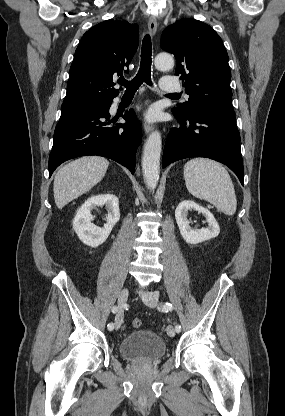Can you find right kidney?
Wrapping results in <instances>:
<instances>
[{"instance_id":"obj_1","label":"right kidney","mask_w":285,"mask_h":416,"mask_svg":"<svg viewBox=\"0 0 285 416\" xmlns=\"http://www.w3.org/2000/svg\"><path fill=\"white\" fill-rule=\"evenodd\" d=\"M96 206H106L108 210L106 224H104L103 228L92 224L93 216H91V210L96 208ZM119 220V202L116 196H113V194L91 196L77 210L73 220V230L83 244L91 246V248H97V246H100L107 240L111 230H113Z\"/></svg>"}]
</instances>
